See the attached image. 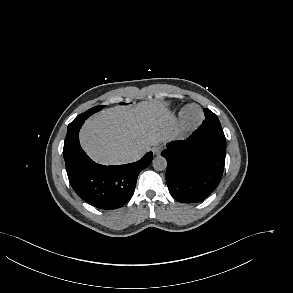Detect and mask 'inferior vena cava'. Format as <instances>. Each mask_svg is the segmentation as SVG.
Instances as JSON below:
<instances>
[{
    "mask_svg": "<svg viewBox=\"0 0 293 293\" xmlns=\"http://www.w3.org/2000/svg\"><path fill=\"white\" fill-rule=\"evenodd\" d=\"M142 156H143V154L140 153V152H134V153H131V154L129 155V161H130V162L137 161V160H139Z\"/></svg>",
    "mask_w": 293,
    "mask_h": 293,
    "instance_id": "inferior-vena-cava-1",
    "label": "inferior vena cava"
}]
</instances>
